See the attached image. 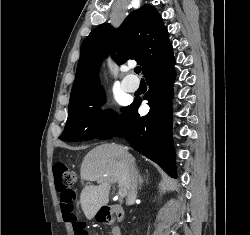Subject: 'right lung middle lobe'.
<instances>
[{"label":"right lung middle lobe","instance_id":"right-lung-middle-lobe-1","mask_svg":"<svg viewBox=\"0 0 250 235\" xmlns=\"http://www.w3.org/2000/svg\"><path fill=\"white\" fill-rule=\"evenodd\" d=\"M104 103L105 95L102 87L71 101L65 130L59 139L73 142L97 138L118 117L112 111H102Z\"/></svg>","mask_w":250,"mask_h":235}]
</instances>
